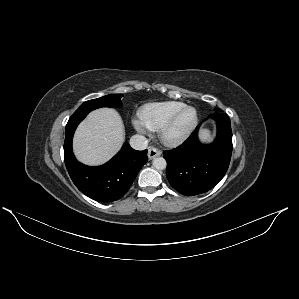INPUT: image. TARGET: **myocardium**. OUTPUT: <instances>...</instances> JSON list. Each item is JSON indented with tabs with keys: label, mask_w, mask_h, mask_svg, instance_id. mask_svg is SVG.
Instances as JSON below:
<instances>
[{
	"label": "myocardium",
	"mask_w": 299,
	"mask_h": 299,
	"mask_svg": "<svg viewBox=\"0 0 299 299\" xmlns=\"http://www.w3.org/2000/svg\"><path fill=\"white\" fill-rule=\"evenodd\" d=\"M188 110H192L194 112V119L192 123L183 131L181 132H176L175 127L180 119V117ZM199 121V114L198 111L195 107L193 106H184L180 110H178L176 113H174L161 127L160 129V134L162 137V140L170 145H177L185 140H187L190 135L193 133L195 130L197 124Z\"/></svg>",
	"instance_id": "1"
}]
</instances>
